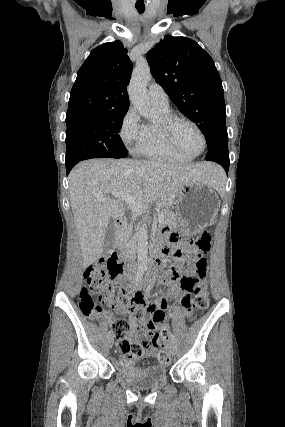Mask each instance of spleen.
I'll return each instance as SVG.
<instances>
[{
	"label": "spleen",
	"instance_id": "3e777b00",
	"mask_svg": "<svg viewBox=\"0 0 285 427\" xmlns=\"http://www.w3.org/2000/svg\"><path fill=\"white\" fill-rule=\"evenodd\" d=\"M225 175L223 173V171H219L218 175H217V185L215 187L216 190L222 192L224 190L225 187Z\"/></svg>",
	"mask_w": 285,
	"mask_h": 427
}]
</instances>
